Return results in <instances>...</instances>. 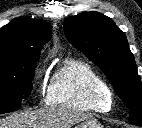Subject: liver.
Returning a JSON list of instances; mask_svg holds the SVG:
<instances>
[{"label": "liver", "mask_w": 142, "mask_h": 128, "mask_svg": "<svg viewBox=\"0 0 142 128\" xmlns=\"http://www.w3.org/2000/svg\"><path fill=\"white\" fill-rule=\"evenodd\" d=\"M91 118L82 111L65 108H40L12 114L0 120V128H71L74 124Z\"/></svg>", "instance_id": "obj_1"}]
</instances>
